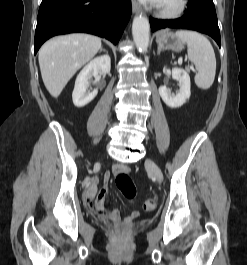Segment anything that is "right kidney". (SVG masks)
I'll return each mask as SVG.
<instances>
[{
    "mask_svg": "<svg viewBox=\"0 0 247 265\" xmlns=\"http://www.w3.org/2000/svg\"><path fill=\"white\" fill-rule=\"evenodd\" d=\"M111 69V59L109 55H102L91 60L78 74L75 87L72 93L73 103L76 107H84L97 95L98 90H88L89 79L99 73L108 74Z\"/></svg>",
    "mask_w": 247,
    "mask_h": 265,
    "instance_id": "ca27d5eb",
    "label": "right kidney"
}]
</instances>
